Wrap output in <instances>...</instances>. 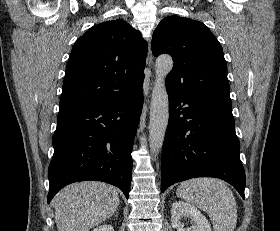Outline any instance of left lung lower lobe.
<instances>
[{"label": "left lung lower lobe", "instance_id": "0a47b994", "mask_svg": "<svg viewBox=\"0 0 280 231\" xmlns=\"http://www.w3.org/2000/svg\"><path fill=\"white\" fill-rule=\"evenodd\" d=\"M167 92L170 117L162 149L161 191L190 178L216 177L244 198L245 172L231 105L168 88Z\"/></svg>", "mask_w": 280, "mask_h": 231}]
</instances>
